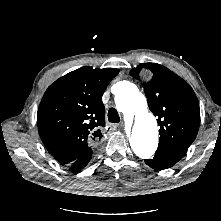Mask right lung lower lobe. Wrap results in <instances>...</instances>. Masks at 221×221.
<instances>
[{
    "instance_id": "1",
    "label": "right lung lower lobe",
    "mask_w": 221,
    "mask_h": 221,
    "mask_svg": "<svg viewBox=\"0 0 221 221\" xmlns=\"http://www.w3.org/2000/svg\"><path fill=\"white\" fill-rule=\"evenodd\" d=\"M91 157H92V150L85 153L79 159H77L76 161L71 163L69 165L70 169L73 171H78V170L84 168L88 164V162L90 161Z\"/></svg>"
}]
</instances>
